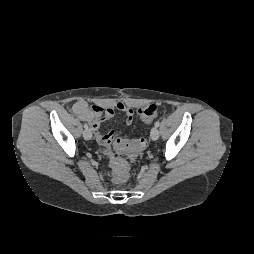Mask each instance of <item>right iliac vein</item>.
<instances>
[{
  "instance_id": "1",
  "label": "right iliac vein",
  "mask_w": 254,
  "mask_h": 254,
  "mask_svg": "<svg viewBox=\"0 0 254 254\" xmlns=\"http://www.w3.org/2000/svg\"><path fill=\"white\" fill-rule=\"evenodd\" d=\"M83 137L86 139V140H90L92 138V131L91 129L87 128L83 131Z\"/></svg>"
}]
</instances>
